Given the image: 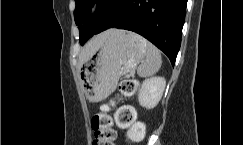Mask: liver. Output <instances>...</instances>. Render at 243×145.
Wrapping results in <instances>:
<instances>
[{"label": "liver", "mask_w": 243, "mask_h": 145, "mask_svg": "<svg viewBox=\"0 0 243 145\" xmlns=\"http://www.w3.org/2000/svg\"><path fill=\"white\" fill-rule=\"evenodd\" d=\"M109 34L110 30L94 37L84 46L79 57L80 65L86 62L102 46Z\"/></svg>", "instance_id": "liver-1"}]
</instances>
